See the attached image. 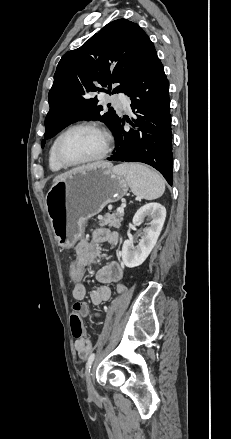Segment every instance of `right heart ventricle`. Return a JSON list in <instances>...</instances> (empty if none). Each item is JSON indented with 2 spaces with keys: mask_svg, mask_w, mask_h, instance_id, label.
I'll list each match as a JSON object with an SVG mask.
<instances>
[{
  "mask_svg": "<svg viewBox=\"0 0 231 439\" xmlns=\"http://www.w3.org/2000/svg\"><path fill=\"white\" fill-rule=\"evenodd\" d=\"M57 139V138H56ZM56 139L53 141V143L50 146L49 153H48V163L49 167L52 171L58 172L63 169H65L66 166L62 165L56 158L55 155V143Z\"/></svg>",
  "mask_w": 231,
  "mask_h": 439,
  "instance_id": "right-heart-ventricle-1",
  "label": "right heart ventricle"
}]
</instances>
